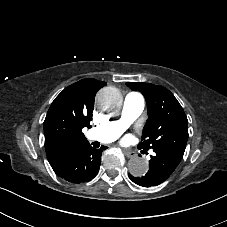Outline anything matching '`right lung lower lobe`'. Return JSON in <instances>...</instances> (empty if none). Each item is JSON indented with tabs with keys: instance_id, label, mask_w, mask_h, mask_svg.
Wrapping results in <instances>:
<instances>
[{
	"instance_id": "right-lung-lower-lobe-1",
	"label": "right lung lower lobe",
	"mask_w": 227,
	"mask_h": 227,
	"mask_svg": "<svg viewBox=\"0 0 227 227\" xmlns=\"http://www.w3.org/2000/svg\"><path fill=\"white\" fill-rule=\"evenodd\" d=\"M103 148L94 149L89 143H86L71 151L61 164L53 170L59 177L69 182L89 181L99 171Z\"/></svg>"
}]
</instances>
